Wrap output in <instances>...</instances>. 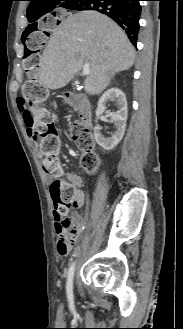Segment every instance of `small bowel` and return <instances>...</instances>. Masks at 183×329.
Listing matches in <instances>:
<instances>
[{"instance_id": "small-bowel-1", "label": "small bowel", "mask_w": 183, "mask_h": 329, "mask_svg": "<svg viewBox=\"0 0 183 329\" xmlns=\"http://www.w3.org/2000/svg\"><path fill=\"white\" fill-rule=\"evenodd\" d=\"M17 104H18V107H19L18 102H17ZM22 118H23V121L26 125L27 134L32 139V141L34 142V137H33L31 128L29 126L30 114H22ZM67 178L76 183L77 207H81L84 204V200H85L84 192L81 189L82 182H81L79 177H77L73 174H68ZM71 221H72L74 227L76 228V230L80 231L82 229V225H83L82 218L80 217V215L78 213H73L72 214ZM55 230L59 235V238L57 240V251L60 255L65 256V255L68 254L72 244H69L66 241V236H65L63 227H62L60 221L57 220L56 218H55Z\"/></svg>"}]
</instances>
